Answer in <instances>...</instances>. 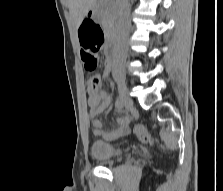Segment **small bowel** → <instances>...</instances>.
Returning <instances> with one entry per match:
<instances>
[{
	"instance_id": "small-bowel-1",
	"label": "small bowel",
	"mask_w": 223,
	"mask_h": 191,
	"mask_svg": "<svg viewBox=\"0 0 223 191\" xmlns=\"http://www.w3.org/2000/svg\"><path fill=\"white\" fill-rule=\"evenodd\" d=\"M96 27V26H89ZM113 63H110L109 59L106 58L104 62L103 77L107 78L112 71ZM111 103V96L103 89L89 91L88 106H89V117L91 119V126L93 133L105 140H114L129 132V117H122L117 119V127L111 130L102 129V123L97 116L103 113ZM116 110L119 111L116 107Z\"/></svg>"
}]
</instances>
